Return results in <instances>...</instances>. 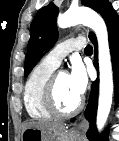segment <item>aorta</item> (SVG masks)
I'll return each mask as SVG.
<instances>
[{"mask_svg":"<svg viewBox=\"0 0 119 141\" xmlns=\"http://www.w3.org/2000/svg\"><path fill=\"white\" fill-rule=\"evenodd\" d=\"M57 24L60 28L83 24L90 27L97 36L100 72L97 128L102 130L110 113L113 97V73L106 24L100 15L84 7L69 9L58 17Z\"/></svg>","mask_w":119,"mask_h":141,"instance_id":"obj_1","label":"aorta"}]
</instances>
